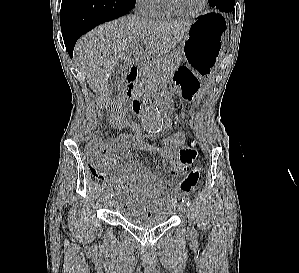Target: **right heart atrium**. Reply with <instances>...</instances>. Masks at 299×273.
Wrapping results in <instances>:
<instances>
[{"instance_id":"right-heart-atrium-1","label":"right heart atrium","mask_w":299,"mask_h":273,"mask_svg":"<svg viewBox=\"0 0 299 273\" xmlns=\"http://www.w3.org/2000/svg\"><path fill=\"white\" fill-rule=\"evenodd\" d=\"M156 0H135L136 7L141 13L146 14Z\"/></svg>"}]
</instances>
